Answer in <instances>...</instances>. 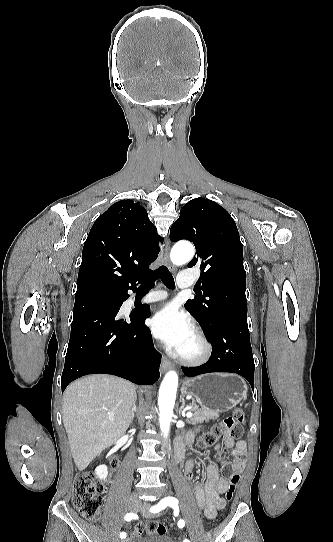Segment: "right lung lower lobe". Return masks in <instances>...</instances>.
I'll return each instance as SVG.
<instances>
[{
    "label": "right lung lower lobe",
    "mask_w": 333,
    "mask_h": 542,
    "mask_svg": "<svg viewBox=\"0 0 333 542\" xmlns=\"http://www.w3.org/2000/svg\"><path fill=\"white\" fill-rule=\"evenodd\" d=\"M113 254L93 248L82 254V264L98 267L109 263ZM152 274V270L146 278ZM125 290L76 292L71 335L61 379L62 392L73 380L88 374H112L136 384L150 385L160 376L161 355L153 347L145 325L149 306L142 305L130 318L117 314L129 297Z\"/></svg>",
    "instance_id": "1"
}]
</instances>
